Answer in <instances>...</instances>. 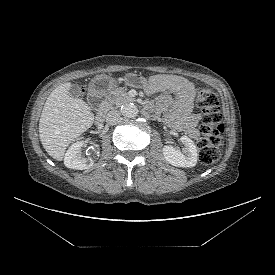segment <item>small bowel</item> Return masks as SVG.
<instances>
[{
    "mask_svg": "<svg viewBox=\"0 0 275 275\" xmlns=\"http://www.w3.org/2000/svg\"><path fill=\"white\" fill-rule=\"evenodd\" d=\"M128 80L134 85L142 86L149 94L171 92L161 95L149 108L155 112H164L165 122L173 129L184 131L190 137H199V114L192 113L195 87L192 82L177 75H157L142 78L129 75Z\"/></svg>",
    "mask_w": 275,
    "mask_h": 275,
    "instance_id": "small-bowel-1",
    "label": "small bowel"
}]
</instances>
